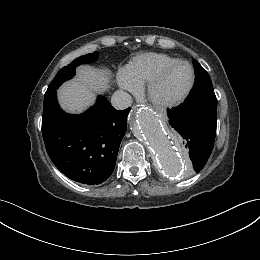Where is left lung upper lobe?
<instances>
[{
	"label": "left lung upper lobe",
	"instance_id": "obj_1",
	"mask_svg": "<svg viewBox=\"0 0 260 260\" xmlns=\"http://www.w3.org/2000/svg\"><path fill=\"white\" fill-rule=\"evenodd\" d=\"M193 61L196 71V85L191 96L186 102H195L201 98L216 99L209 74L195 59H193Z\"/></svg>",
	"mask_w": 260,
	"mask_h": 260
}]
</instances>
